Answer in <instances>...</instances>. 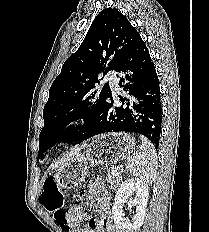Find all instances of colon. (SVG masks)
<instances>
[{"mask_svg":"<svg viewBox=\"0 0 209 232\" xmlns=\"http://www.w3.org/2000/svg\"><path fill=\"white\" fill-rule=\"evenodd\" d=\"M40 203L53 215L58 226H67L64 213V195L54 179L47 178L44 181Z\"/></svg>","mask_w":209,"mask_h":232,"instance_id":"colon-1","label":"colon"}]
</instances>
